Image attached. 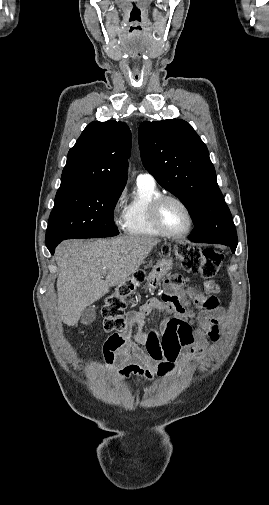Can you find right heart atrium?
<instances>
[{"label": "right heart atrium", "instance_id": "obj_1", "mask_svg": "<svg viewBox=\"0 0 269 505\" xmlns=\"http://www.w3.org/2000/svg\"><path fill=\"white\" fill-rule=\"evenodd\" d=\"M112 216L117 226H123L125 218L124 194L121 192L112 204Z\"/></svg>", "mask_w": 269, "mask_h": 505}]
</instances>
